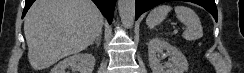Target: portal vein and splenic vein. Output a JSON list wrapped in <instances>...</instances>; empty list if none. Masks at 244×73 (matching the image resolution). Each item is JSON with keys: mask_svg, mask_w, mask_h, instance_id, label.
I'll list each match as a JSON object with an SVG mask.
<instances>
[{"mask_svg": "<svg viewBox=\"0 0 244 73\" xmlns=\"http://www.w3.org/2000/svg\"><path fill=\"white\" fill-rule=\"evenodd\" d=\"M177 32H178V30H177V29H175V30H174V33H177Z\"/></svg>", "mask_w": 244, "mask_h": 73, "instance_id": "portal-vein-and-splenic-vein-1", "label": "portal vein and splenic vein"}]
</instances>
